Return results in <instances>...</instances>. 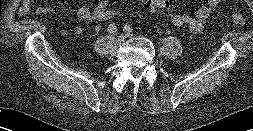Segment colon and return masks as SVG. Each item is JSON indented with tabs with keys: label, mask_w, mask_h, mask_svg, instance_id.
I'll return each instance as SVG.
<instances>
[{
	"label": "colon",
	"mask_w": 253,
	"mask_h": 131,
	"mask_svg": "<svg viewBox=\"0 0 253 131\" xmlns=\"http://www.w3.org/2000/svg\"><path fill=\"white\" fill-rule=\"evenodd\" d=\"M175 5V0H145V7L150 11L169 9ZM117 12L113 8H106L102 13L103 22H112L116 19ZM233 25L242 26L246 23V14L243 10L235 9L231 13Z\"/></svg>",
	"instance_id": "1"
}]
</instances>
